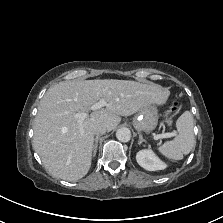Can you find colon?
<instances>
[{
  "label": "colon",
  "mask_w": 223,
  "mask_h": 223,
  "mask_svg": "<svg viewBox=\"0 0 223 223\" xmlns=\"http://www.w3.org/2000/svg\"><path fill=\"white\" fill-rule=\"evenodd\" d=\"M177 107H178V103L176 101H174L171 106H170V109L167 113V116H166V123L170 124L172 122V119L177 111Z\"/></svg>",
  "instance_id": "1"
}]
</instances>
